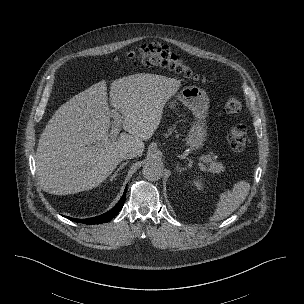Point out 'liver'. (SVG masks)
Wrapping results in <instances>:
<instances>
[{
    "instance_id": "obj_1",
    "label": "liver",
    "mask_w": 304,
    "mask_h": 304,
    "mask_svg": "<svg viewBox=\"0 0 304 304\" xmlns=\"http://www.w3.org/2000/svg\"><path fill=\"white\" fill-rule=\"evenodd\" d=\"M177 79L139 73L114 80L110 104L121 116L123 132L109 134L107 85L100 81L60 106L43 130L36 152L41 188L50 194H75L97 187L117 167L121 154L141 156L158 128L163 108L178 91Z\"/></svg>"
}]
</instances>
